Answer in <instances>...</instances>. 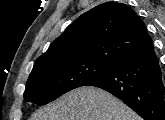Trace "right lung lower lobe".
I'll list each match as a JSON object with an SVG mask.
<instances>
[{
  "mask_svg": "<svg viewBox=\"0 0 165 120\" xmlns=\"http://www.w3.org/2000/svg\"><path fill=\"white\" fill-rule=\"evenodd\" d=\"M86 85L110 92L144 120H165L162 72L152 41L128 54L112 71Z\"/></svg>",
  "mask_w": 165,
  "mask_h": 120,
  "instance_id": "1",
  "label": "right lung lower lobe"
}]
</instances>
